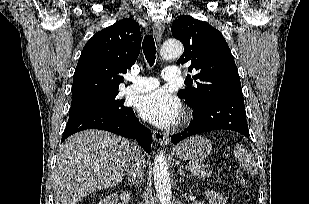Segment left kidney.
<instances>
[{"mask_svg":"<svg viewBox=\"0 0 309 204\" xmlns=\"http://www.w3.org/2000/svg\"><path fill=\"white\" fill-rule=\"evenodd\" d=\"M205 196L209 204H226V200L223 198V196L219 193H216L215 191L208 190L205 192Z\"/></svg>","mask_w":309,"mask_h":204,"instance_id":"obj_1","label":"left kidney"}]
</instances>
